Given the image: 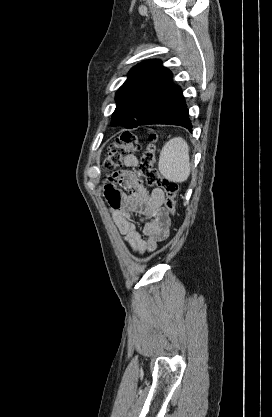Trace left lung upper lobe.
Listing matches in <instances>:
<instances>
[{"mask_svg": "<svg viewBox=\"0 0 272 417\" xmlns=\"http://www.w3.org/2000/svg\"><path fill=\"white\" fill-rule=\"evenodd\" d=\"M175 86L171 71L160 60H147L134 66L116 93L117 106L111 125L125 128L141 125Z\"/></svg>", "mask_w": 272, "mask_h": 417, "instance_id": "obj_1", "label": "left lung upper lobe"}]
</instances>
